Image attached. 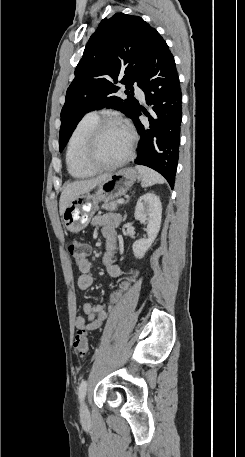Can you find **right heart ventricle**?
<instances>
[{"instance_id":"e07e8e85","label":"right heart ventricle","mask_w":245,"mask_h":457,"mask_svg":"<svg viewBox=\"0 0 245 457\" xmlns=\"http://www.w3.org/2000/svg\"><path fill=\"white\" fill-rule=\"evenodd\" d=\"M99 121L96 115H86L75 126L68 141L66 161L69 173L75 178H85L91 174L78 160L79 153L86 143L91 128ZM89 150L87 151V154Z\"/></svg>"}]
</instances>
